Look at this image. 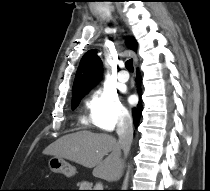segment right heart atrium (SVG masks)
Masks as SVG:
<instances>
[{"label": "right heart atrium", "mask_w": 210, "mask_h": 191, "mask_svg": "<svg viewBox=\"0 0 210 191\" xmlns=\"http://www.w3.org/2000/svg\"><path fill=\"white\" fill-rule=\"evenodd\" d=\"M86 107L90 122L102 131L111 132L117 126L126 124L130 118L116 91L108 88L95 90Z\"/></svg>", "instance_id": "obj_1"}]
</instances>
